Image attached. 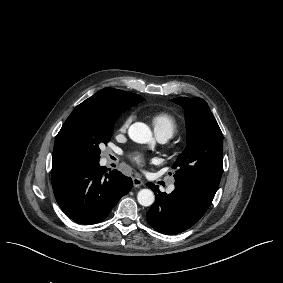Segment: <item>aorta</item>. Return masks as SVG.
I'll use <instances>...</instances> for the list:
<instances>
[{
    "mask_svg": "<svg viewBox=\"0 0 283 283\" xmlns=\"http://www.w3.org/2000/svg\"><path fill=\"white\" fill-rule=\"evenodd\" d=\"M129 137L136 143L145 144L153 141L150 128L142 123H133L128 130ZM138 203L142 206H151L155 201V196L150 189H141L137 194Z\"/></svg>",
    "mask_w": 283,
    "mask_h": 283,
    "instance_id": "aorta-1",
    "label": "aorta"
}]
</instances>
